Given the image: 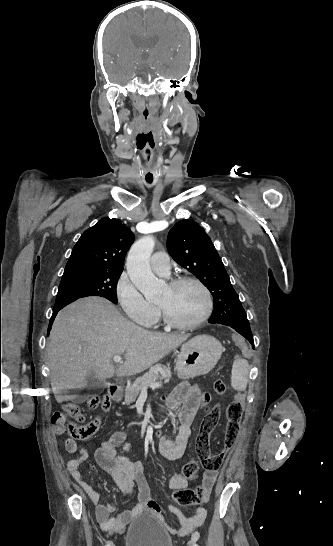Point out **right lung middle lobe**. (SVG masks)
Here are the masks:
<instances>
[{
	"label": "right lung middle lobe",
	"instance_id": "dd1d6c3e",
	"mask_svg": "<svg viewBox=\"0 0 333 546\" xmlns=\"http://www.w3.org/2000/svg\"><path fill=\"white\" fill-rule=\"evenodd\" d=\"M122 271L98 270L63 275L53 311L87 296H101L116 304V287Z\"/></svg>",
	"mask_w": 333,
	"mask_h": 546
}]
</instances>
